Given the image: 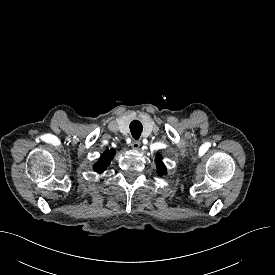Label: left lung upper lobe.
<instances>
[{
    "label": "left lung upper lobe",
    "instance_id": "1",
    "mask_svg": "<svg viewBox=\"0 0 275 275\" xmlns=\"http://www.w3.org/2000/svg\"><path fill=\"white\" fill-rule=\"evenodd\" d=\"M160 155L158 154L156 156V159H159ZM157 171L159 175H164L166 173V168L164 166V164L161 162V159H159V161L157 162Z\"/></svg>",
    "mask_w": 275,
    "mask_h": 275
}]
</instances>
